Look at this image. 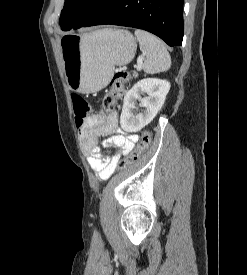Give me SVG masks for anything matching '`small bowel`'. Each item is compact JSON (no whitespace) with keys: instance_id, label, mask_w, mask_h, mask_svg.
<instances>
[{"instance_id":"1","label":"small bowel","mask_w":247,"mask_h":275,"mask_svg":"<svg viewBox=\"0 0 247 275\" xmlns=\"http://www.w3.org/2000/svg\"><path fill=\"white\" fill-rule=\"evenodd\" d=\"M100 136L105 137L103 147L114 149L113 154H102L97 141ZM80 139L90 167L100 180H106L114 172L120 159L134 149L139 136L134 133L126 134L119 127L117 112L106 115L100 111L88 117L80 131Z\"/></svg>"}]
</instances>
